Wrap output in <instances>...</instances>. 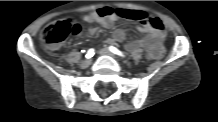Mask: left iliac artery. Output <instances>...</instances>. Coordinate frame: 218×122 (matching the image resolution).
<instances>
[{"label": "left iliac artery", "instance_id": "obj_1", "mask_svg": "<svg viewBox=\"0 0 218 122\" xmlns=\"http://www.w3.org/2000/svg\"><path fill=\"white\" fill-rule=\"evenodd\" d=\"M109 50H110L112 53H114V54H116V55H118V56H120V57H122V58L125 57V55H124L118 48H116V47H114V46H110V47H109Z\"/></svg>", "mask_w": 218, "mask_h": 122}]
</instances>
